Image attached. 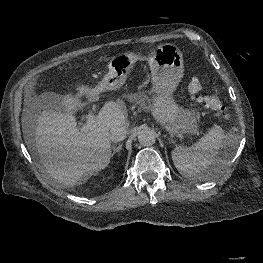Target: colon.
I'll list each match as a JSON object with an SVG mask.
<instances>
[{"instance_id": "obj_1", "label": "colon", "mask_w": 263, "mask_h": 263, "mask_svg": "<svg viewBox=\"0 0 263 263\" xmlns=\"http://www.w3.org/2000/svg\"><path fill=\"white\" fill-rule=\"evenodd\" d=\"M188 91L199 102L211 109L217 118H226L227 113L221 100L214 94L204 93V88L198 79L194 78L190 81Z\"/></svg>"}]
</instances>
